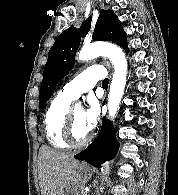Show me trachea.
<instances>
[{
    "label": "trachea",
    "instance_id": "trachea-1",
    "mask_svg": "<svg viewBox=\"0 0 178 195\" xmlns=\"http://www.w3.org/2000/svg\"><path fill=\"white\" fill-rule=\"evenodd\" d=\"M108 83H109V79H108V78H105V79L103 80V82H102V85H103L104 87H108Z\"/></svg>",
    "mask_w": 178,
    "mask_h": 195
}]
</instances>
